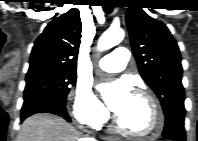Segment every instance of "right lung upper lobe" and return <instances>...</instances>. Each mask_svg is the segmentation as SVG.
Here are the masks:
<instances>
[{
	"instance_id": "obj_1",
	"label": "right lung upper lobe",
	"mask_w": 198,
	"mask_h": 141,
	"mask_svg": "<svg viewBox=\"0 0 198 141\" xmlns=\"http://www.w3.org/2000/svg\"><path fill=\"white\" fill-rule=\"evenodd\" d=\"M80 38V12L78 9H71L50 22L36 39L28 72L76 71Z\"/></svg>"
}]
</instances>
